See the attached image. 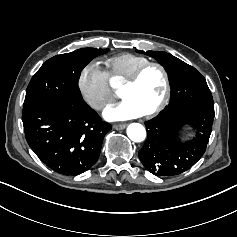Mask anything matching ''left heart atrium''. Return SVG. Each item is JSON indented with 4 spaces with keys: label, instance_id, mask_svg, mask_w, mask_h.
I'll list each match as a JSON object with an SVG mask.
<instances>
[{
    "label": "left heart atrium",
    "instance_id": "left-heart-atrium-1",
    "mask_svg": "<svg viewBox=\"0 0 237 237\" xmlns=\"http://www.w3.org/2000/svg\"><path fill=\"white\" fill-rule=\"evenodd\" d=\"M142 115L143 113L128 100H123L117 105L107 107L103 113L104 118L110 122L134 119Z\"/></svg>",
    "mask_w": 237,
    "mask_h": 237
}]
</instances>
